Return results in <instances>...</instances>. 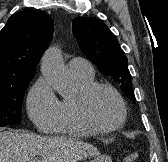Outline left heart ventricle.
Instances as JSON below:
<instances>
[{"label":"left heart ventricle","instance_id":"1","mask_svg":"<svg viewBox=\"0 0 168 162\" xmlns=\"http://www.w3.org/2000/svg\"><path fill=\"white\" fill-rule=\"evenodd\" d=\"M89 108L95 121L104 126L116 124L121 117L119 104L112 93L101 89L90 99Z\"/></svg>","mask_w":168,"mask_h":162}]
</instances>
